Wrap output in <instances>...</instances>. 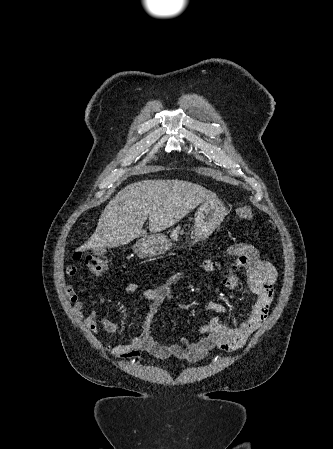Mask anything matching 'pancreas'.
Instances as JSON below:
<instances>
[{
    "label": "pancreas",
    "instance_id": "1",
    "mask_svg": "<svg viewBox=\"0 0 333 449\" xmlns=\"http://www.w3.org/2000/svg\"><path fill=\"white\" fill-rule=\"evenodd\" d=\"M171 237H173V238H177V237H178V235H177V230H175L174 232H172Z\"/></svg>",
    "mask_w": 333,
    "mask_h": 449
}]
</instances>
